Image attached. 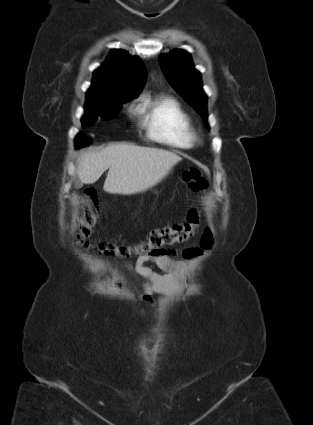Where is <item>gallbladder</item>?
Returning <instances> with one entry per match:
<instances>
[{"mask_svg": "<svg viewBox=\"0 0 313 425\" xmlns=\"http://www.w3.org/2000/svg\"><path fill=\"white\" fill-rule=\"evenodd\" d=\"M74 186L77 189L82 187V182L79 180V178L74 179Z\"/></svg>", "mask_w": 313, "mask_h": 425, "instance_id": "bac80fb5", "label": "gallbladder"}]
</instances>
